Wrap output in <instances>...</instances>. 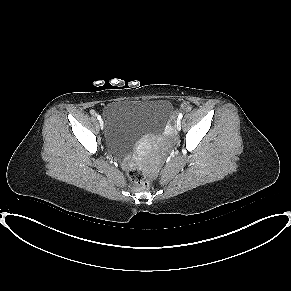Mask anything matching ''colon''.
<instances>
[{"label": "colon", "instance_id": "1", "mask_svg": "<svg viewBox=\"0 0 291 291\" xmlns=\"http://www.w3.org/2000/svg\"><path fill=\"white\" fill-rule=\"evenodd\" d=\"M182 107L185 108L186 105H182ZM127 175L133 184H135L137 186H141V187L146 186L147 182H146L145 177L141 171H139L135 168H130L127 172Z\"/></svg>", "mask_w": 291, "mask_h": 291}]
</instances>
